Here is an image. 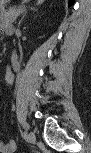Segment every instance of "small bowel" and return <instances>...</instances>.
<instances>
[{
	"label": "small bowel",
	"instance_id": "small-bowel-1",
	"mask_svg": "<svg viewBox=\"0 0 91 153\" xmlns=\"http://www.w3.org/2000/svg\"><path fill=\"white\" fill-rule=\"evenodd\" d=\"M11 81V76H10ZM0 150L2 153H14L16 150V144L13 140H8L6 142L1 143Z\"/></svg>",
	"mask_w": 91,
	"mask_h": 153
}]
</instances>
